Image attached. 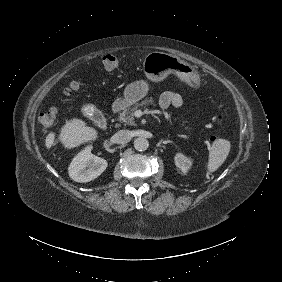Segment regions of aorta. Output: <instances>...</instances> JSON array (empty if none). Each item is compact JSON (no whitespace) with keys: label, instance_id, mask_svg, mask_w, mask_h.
<instances>
[{"label":"aorta","instance_id":"aorta-1","mask_svg":"<svg viewBox=\"0 0 282 282\" xmlns=\"http://www.w3.org/2000/svg\"><path fill=\"white\" fill-rule=\"evenodd\" d=\"M134 147L138 151H145L149 148V141L146 138H137L134 141Z\"/></svg>","mask_w":282,"mask_h":282}]
</instances>
